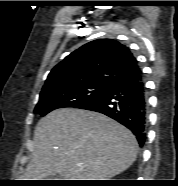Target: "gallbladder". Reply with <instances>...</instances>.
Instances as JSON below:
<instances>
[{"label": "gallbladder", "instance_id": "bac80fb5", "mask_svg": "<svg viewBox=\"0 0 178 186\" xmlns=\"http://www.w3.org/2000/svg\"><path fill=\"white\" fill-rule=\"evenodd\" d=\"M58 175H54V176H51L50 178H49V180H57L58 179Z\"/></svg>", "mask_w": 178, "mask_h": 186}]
</instances>
